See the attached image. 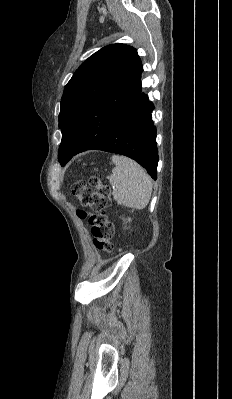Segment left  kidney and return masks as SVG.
I'll use <instances>...</instances> for the list:
<instances>
[{"label": "left kidney", "instance_id": "1", "mask_svg": "<svg viewBox=\"0 0 232 399\" xmlns=\"http://www.w3.org/2000/svg\"><path fill=\"white\" fill-rule=\"evenodd\" d=\"M128 221H131V217H128Z\"/></svg>", "mask_w": 232, "mask_h": 399}]
</instances>
